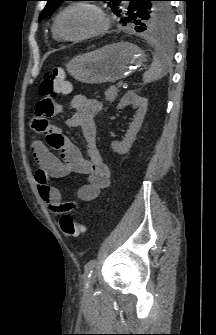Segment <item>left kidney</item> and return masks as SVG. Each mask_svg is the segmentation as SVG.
I'll use <instances>...</instances> for the list:
<instances>
[{
	"label": "left kidney",
	"instance_id": "left-kidney-1",
	"mask_svg": "<svg viewBox=\"0 0 216 335\" xmlns=\"http://www.w3.org/2000/svg\"><path fill=\"white\" fill-rule=\"evenodd\" d=\"M131 104L135 108H138V111L134 116L133 122L130 124V128L126 133L125 138L119 143H111L112 150L119 154H125L131 148L133 142L135 141L136 135L143 123V119L147 111V99L138 96L134 91H128L122 97L120 103L117 105V109H122L125 106Z\"/></svg>",
	"mask_w": 216,
	"mask_h": 335
}]
</instances>
